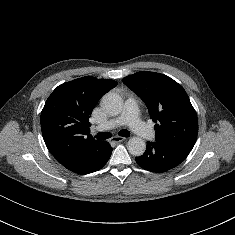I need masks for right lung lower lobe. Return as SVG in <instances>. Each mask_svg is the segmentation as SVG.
<instances>
[{
	"label": "right lung lower lobe",
	"mask_w": 235,
	"mask_h": 235,
	"mask_svg": "<svg viewBox=\"0 0 235 235\" xmlns=\"http://www.w3.org/2000/svg\"><path fill=\"white\" fill-rule=\"evenodd\" d=\"M112 153V147L108 142L102 141L95 147H92L83 161L72 171L78 174H88L101 169L109 160Z\"/></svg>",
	"instance_id": "right-lung-lower-lobe-1"
}]
</instances>
